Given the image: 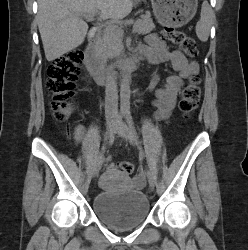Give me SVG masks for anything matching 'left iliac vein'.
Returning <instances> with one entry per match:
<instances>
[{"mask_svg": "<svg viewBox=\"0 0 248 250\" xmlns=\"http://www.w3.org/2000/svg\"><path fill=\"white\" fill-rule=\"evenodd\" d=\"M116 133L120 137H122L123 139L128 141L131 145H133V146L135 145L134 136H133L131 130L129 129V127L124 122L121 121L119 123V125L116 128ZM147 178H148L149 186L153 189L155 187L156 177L151 170L147 171Z\"/></svg>", "mask_w": 248, "mask_h": 250, "instance_id": "1", "label": "left iliac vein"}]
</instances>
